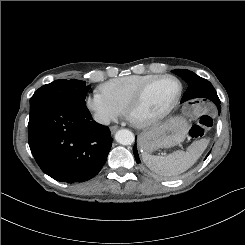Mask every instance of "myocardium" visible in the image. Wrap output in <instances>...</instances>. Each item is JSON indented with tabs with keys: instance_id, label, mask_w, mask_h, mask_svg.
I'll use <instances>...</instances> for the list:
<instances>
[{
	"instance_id": "myocardium-1",
	"label": "myocardium",
	"mask_w": 245,
	"mask_h": 245,
	"mask_svg": "<svg viewBox=\"0 0 245 245\" xmlns=\"http://www.w3.org/2000/svg\"><path fill=\"white\" fill-rule=\"evenodd\" d=\"M165 79H172L175 80L178 83V92L175 96V98L173 99V101L170 103V105L163 110L162 112L145 118V119H137L134 117V113L137 111V109L140 107V105L143 102V99L147 93V91L157 82L165 80ZM182 91H183V84L181 82V80L174 76V75H170V74H166V75H160L157 76L156 78L148 81L147 83H145L138 91L137 93L134 95V97L131 99V101L129 102L127 108H126V116L128 118V120L134 124L135 126L138 127H150L152 125L157 124L158 122H160L161 120H163L164 118H166L172 111L173 109L176 107V105L178 104L181 95H182Z\"/></svg>"
}]
</instances>
